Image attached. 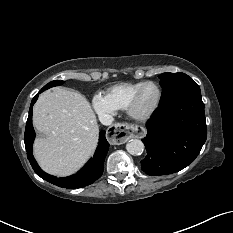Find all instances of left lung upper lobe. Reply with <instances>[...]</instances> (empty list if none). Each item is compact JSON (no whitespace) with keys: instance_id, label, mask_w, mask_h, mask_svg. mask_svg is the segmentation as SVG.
<instances>
[{"instance_id":"obj_1","label":"left lung upper lobe","mask_w":233,"mask_h":233,"mask_svg":"<svg viewBox=\"0 0 233 233\" xmlns=\"http://www.w3.org/2000/svg\"><path fill=\"white\" fill-rule=\"evenodd\" d=\"M163 89L161 103L189 92H200L199 86L184 73H163L159 76Z\"/></svg>"}]
</instances>
